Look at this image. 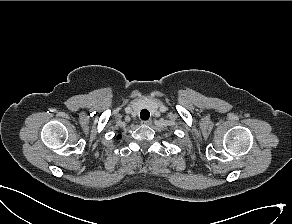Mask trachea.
I'll use <instances>...</instances> for the list:
<instances>
[{
	"instance_id": "obj_1",
	"label": "trachea",
	"mask_w": 292,
	"mask_h": 224,
	"mask_svg": "<svg viewBox=\"0 0 292 224\" xmlns=\"http://www.w3.org/2000/svg\"><path fill=\"white\" fill-rule=\"evenodd\" d=\"M150 117V113L148 110L146 109H143L141 112H140V118L144 121L148 120Z\"/></svg>"
}]
</instances>
